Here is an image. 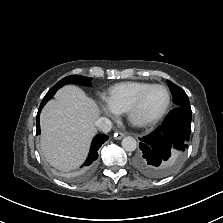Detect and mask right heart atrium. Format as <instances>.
<instances>
[{
    "instance_id": "right-heart-atrium-1",
    "label": "right heart atrium",
    "mask_w": 223,
    "mask_h": 223,
    "mask_svg": "<svg viewBox=\"0 0 223 223\" xmlns=\"http://www.w3.org/2000/svg\"><path fill=\"white\" fill-rule=\"evenodd\" d=\"M102 108L104 110V112L108 115L114 116L116 115L118 112L107 102V100L105 102H103L102 104Z\"/></svg>"
}]
</instances>
